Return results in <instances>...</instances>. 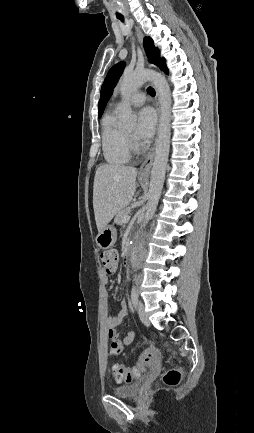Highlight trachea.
Returning <instances> with one entry per match:
<instances>
[{
  "mask_svg": "<svg viewBox=\"0 0 254 433\" xmlns=\"http://www.w3.org/2000/svg\"><path fill=\"white\" fill-rule=\"evenodd\" d=\"M122 22H124V19L123 18H119ZM148 92H149V94L151 95V96H155V91H154V89L153 88H151V87H148Z\"/></svg>",
  "mask_w": 254,
  "mask_h": 433,
  "instance_id": "trachea-1",
  "label": "trachea"
}]
</instances>
